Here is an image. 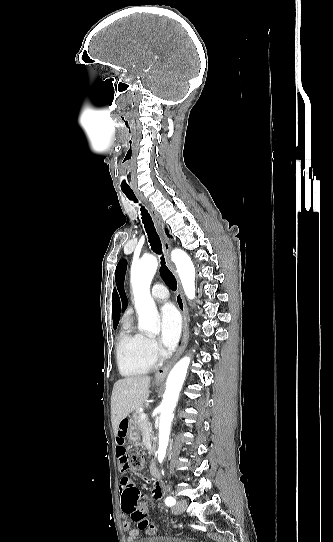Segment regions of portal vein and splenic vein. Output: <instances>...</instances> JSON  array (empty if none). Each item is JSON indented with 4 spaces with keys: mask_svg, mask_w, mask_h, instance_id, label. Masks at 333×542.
<instances>
[{
    "mask_svg": "<svg viewBox=\"0 0 333 542\" xmlns=\"http://www.w3.org/2000/svg\"><path fill=\"white\" fill-rule=\"evenodd\" d=\"M147 418V414H141V420H145Z\"/></svg>",
    "mask_w": 333,
    "mask_h": 542,
    "instance_id": "obj_1",
    "label": "portal vein and splenic vein"
}]
</instances>
